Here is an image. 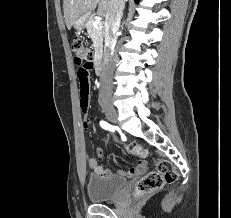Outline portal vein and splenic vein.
I'll list each match as a JSON object with an SVG mask.
<instances>
[{"instance_id": "18ae733b", "label": "portal vein and splenic vein", "mask_w": 231, "mask_h": 218, "mask_svg": "<svg viewBox=\"0 0 231 218\" xmlns=\"http://www.w3.org/2000/svg\"><path fill=\"white\" fill-rule=\"evenodd\" d=\"M99 25H101L100 20H95L94 23H93V26L96 28V27H98Z\"/></svg>"}]
</instances>
